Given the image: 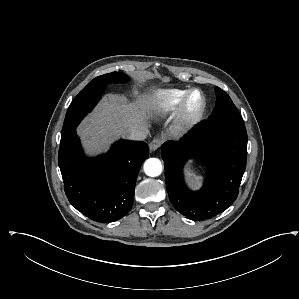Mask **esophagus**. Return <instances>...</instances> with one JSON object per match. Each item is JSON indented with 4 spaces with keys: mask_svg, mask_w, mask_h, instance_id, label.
Here are the masks:
<instances>
[{
    "mask_svg": "<svg viewBox=\"0 0 299 299\" xmlns=\"http://www.w3.org/2000/svg\"><path fill=\"white\" fill-rule=\"evenodd\" d=\"M162 144V140L160 138H155L151 141L149 147L151 151H156Z\"/></svg>",
    "mask_w": 299,
    "mask_h": 299,
    "instance_id": "34e87169",
    "label": "esophagus"
}]
</instances>
